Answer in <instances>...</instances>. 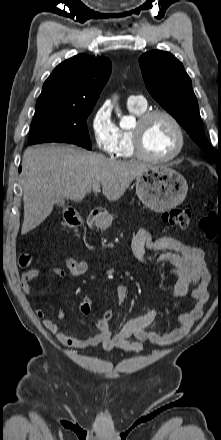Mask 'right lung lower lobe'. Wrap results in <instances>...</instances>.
I'll return each mask as SVG.
<instances>
[{"label": "right lung lower lobe", "mask_w": 221, "mask_h": 440, "mask_svg": "<svg viewBox=\"0 0 221 440\" xmlns=\"http://www.w3.org/2000/svg\"><path fill=\"white\" fill-rule=\"evenodd\" d=\"M21 169H22V168L20 167V168H19V172L21 171Z\"/></svg>", "instance_id": "right-lung-lower-lobe-1"}]
</instances>
